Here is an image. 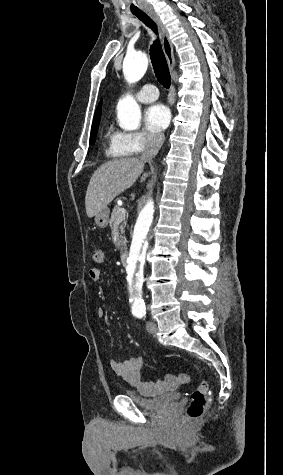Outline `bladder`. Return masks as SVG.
Instances as JSON below:
<instances>
[{
	"mask_svg": "<svg viewBox=\"0 0 283 475\" xmlns=\"http://www.w3.org/2000/svg\"><path fill=\"white\" fill-rule=\"evenodd\" d=\"M125 397L129 398L135 405L148 410L158 411L162 407L178 406L180 403V397L173 396L172 394H166L162 397H148L143 398L134 389H125Z\"/></svg>",
	"mask_w": 283,
	"mask_h": 475,
	"instance_id": "1",
	"label": "bladder"
}]
</instances>
